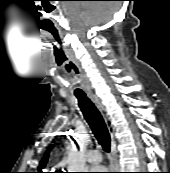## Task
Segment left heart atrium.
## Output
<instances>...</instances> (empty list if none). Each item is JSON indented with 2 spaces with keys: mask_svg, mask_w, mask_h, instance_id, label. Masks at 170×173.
Wrapping results in <instances>:
<instances>
[{
  "mask_svg": "<svg viewBox=\"0 0 170 173\" xmlns=\"http://www.w3.org/2000/svg\"><path fill=\"white\" fill-rule=\"evenodd\" d=\"M106 168L97 166V167H90V172L91 173H105Z\"/></svg>",
  "mask_w": 170,
  "mask_h": 173,
  "instance_id": "1",
  "label": "left heart atrium"
}]
</instances>
